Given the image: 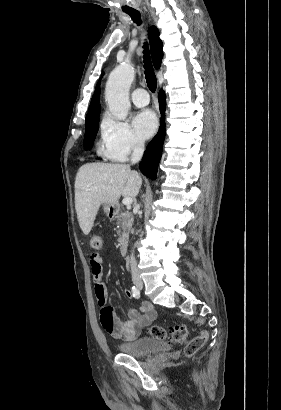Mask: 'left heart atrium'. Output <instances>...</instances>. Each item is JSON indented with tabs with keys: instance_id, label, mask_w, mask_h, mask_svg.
Returning a JSON list of instances; mask_svg holds the SVG:
<instances>
[{
	"instance_id": "obj_1",
	"label": "left heart atrium",
	"mask_w": 281,
	"mask_h": 410,
	"mask_svg": "<svg viewBox=\"0 0 281 410\" xmlns=\"http://www.w3.org/2000/svg\"><path fill=\"white\" fill-rule=\"evenodd\" d=\"M157 126V117L151 110L140 111L133 119V128L142 138H149L152 136L155 133Z\"/></svg>"
}]
</instances>
